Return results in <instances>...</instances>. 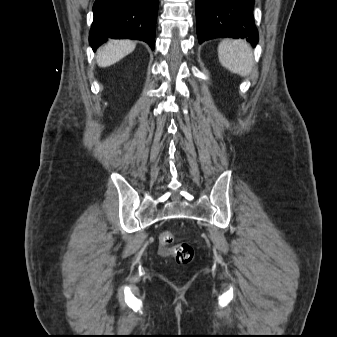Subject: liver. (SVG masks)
<instances>
[{
	"mask_svg": "<svg viewBox=\"0 0 337 337\" xmlns=\"http://www.w3.org/2000/svg\"><path fill=\"white\" fill-rule=\"evenodd\" d=\"M135 47L136 43L131 40H110L97 56V64L100 67L113 65L130 54Z\"/></svg>",
	"mask_w": 337,
	"mask_h": 337,
	"instance_id": "liver-1",
	"label": "liver"
}]
</instances>
